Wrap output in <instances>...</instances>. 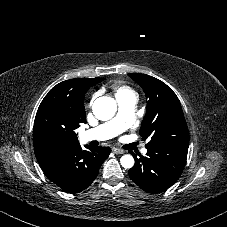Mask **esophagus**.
I'll list each match as a JSON object with an SVG mask.
<instances>
[{"label": "esophagus", "instance_id": "34e87169", "mask_svg": "<svg viewBox=\"0 0 227 227\" xmlns=\"http://www.w3.org/2000/svg\"><path fill=\"white\" fill-rule=\"evenodd\" d=\"M112 151L115 153V154H123L124 151L122 149H119V148H113Z\"/></svg>", "mask_w": 227, "mask_h": 227}]
</instances>
